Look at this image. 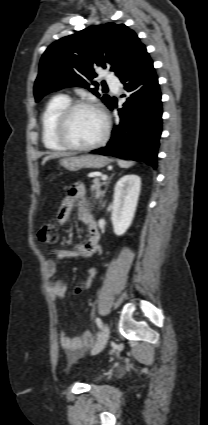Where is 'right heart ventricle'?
<instances>
[{
	"label": "right heart ventricle",
	"instance_id": "e07e8e85",
	"mask_svg": "<svg viewBox=\"0 0 208 425\" xmlns=\"http://www.w3.org/2000/svg\"><path fill=\"white\" fill-rule=\"evenodd\" d=\"M70 103L67 95L59 94L49 100L41 116V134L44 146L51 151H65L56 139V122L61 111Z\"/></svg>",
	"mask_w": 208,
	"mask_h": 425
}]
</instances>
